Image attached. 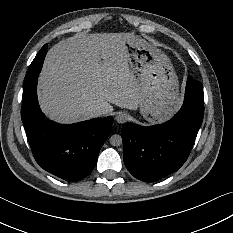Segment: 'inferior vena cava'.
I'll return each instance as SVG.
<instances>
[{"label":"inferior vena cava","mask_w":233,"mask_h":233,"mask_svg":"<svg viewBox=\"0 0 233 233\" xmlns=\"http://www.w3.org/2000/svg\"><path fill=\"white\" fill-rule=\"evenodd\" d=\"M107 114V110L104 107H94L91 110V115L93 118H99L101 116H105Z\"/></svg>","instance_id":"obj_1"}]
</instances>
